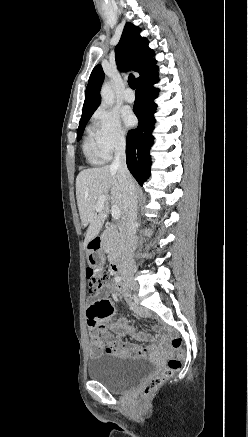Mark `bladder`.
I'll list each match as a JSON object with an SVG mask.
<instances>
[{
    "instance_id": "1",
    "label": "bladder",
    "mask_w": 248,
    "mask_h": 437,
    "mask_svg": "<svg viewBox=\"0 0 248 437\" xmlns=\"http://www.w3.org/2000/svg\"><path fill=\"white\" fill-rule=\"evenodd\" d=\"M156 365L144 357L102 355L88 367V376L112 392H123L156 373Z\"/></svg>"
}]
</instances>
